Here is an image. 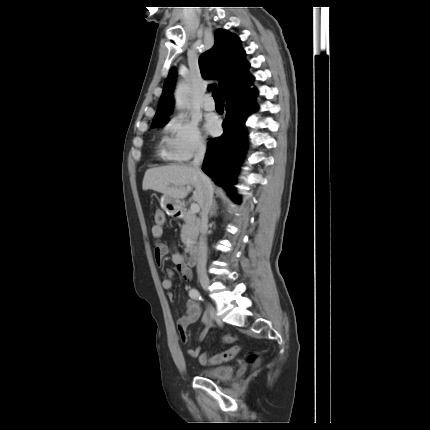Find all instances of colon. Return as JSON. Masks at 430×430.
I'll list each match as a JSON object with an SVG mask.
<instances>
[{"label": "colon", "mask_w": 430, "mask_h": 430, "mask_svg": "<svg viewBox=\"0 0 430 430\" xmlns=\"http://www.w3.org/2000/svg\"><path fill=\"white\" fill-rule=\"evenodd\" d=\"M154 220H155L156 225H159V226L162 225L164 223V220H165L164 213L161 210H157L154 213ZM236 339H237L236 334L227 333L223 337L222 341L226 344H230V343L235 342ZM237 352H238V347L235 346V347H232V348H230L224 352L215 354L213 356H208L206 353H203L200 356L199 360H200V363L203 365H218V364H221L225 361L232 359L236 355ZM258 362H259V358L256 354L252 353L249 355L248 363L251 366H256L258 364Z\"/></svg>", "instance_id": "1"}]
</instances>
